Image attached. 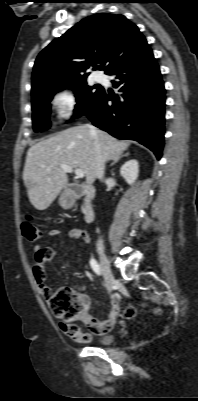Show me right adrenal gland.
<instances>
[{"mask_svg":"<svg viewBox=\"0 0 198 401\" xmlns=\"http://www.w3.org/2000/svg\"><path fill=\"white\" fill-rule=\"evenodd\" d=\"M129 155V153H126V154H124V155H122V156H120V157H117V158H115V159H113V162L111 163V165L110 166H113L115 163H117L122 157H126V156H128Z\"/></svg>","mask_w":198,"mask_h":401,"instance_id":"1","label":"right adrenal gland"}]
</instances>
